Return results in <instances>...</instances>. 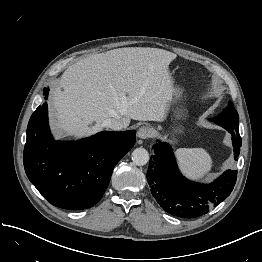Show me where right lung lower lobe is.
<instances>
[{"label": "right lung lower lobe", "instance_id": "right-lung-lower-lobe-1", "mask_svg": "<svg viewBox=\"0 0 262 262\" xmlns=\"http://www.w3.org/2000/svg\"><path fill=\"white\" fill-rule=\"evenodd\" d=\"M49 89H44L48 96ZM134 130L103 131L78 141L54 140L48 126L47 103L32 114L24 148L29 180L54 206L81 210L103 196L115 165L135 144Z\"/></svg>", "mask_w": 262, "mask_h": 262}]
</instances>
